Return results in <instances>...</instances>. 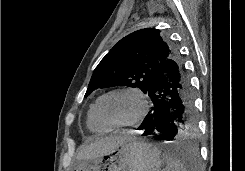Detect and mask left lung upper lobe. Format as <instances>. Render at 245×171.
Segmentation results:
<instances>
[{
	"mask_svg": "<svg viewBox=\"0 0 245 171\" xmlns=\"http://www.w3.org/2000/svg\"><path fill=\"white\" fill-rule=\"evenodd\" d=\"M176 51L160 30L146 28L122 38L95 68L85 97L98 88L138 87L147 93Z\"/></svg>",
	"mask_w": 245,
	"mask_h": 171,
	"instance_id": "obj_1",
	"label": "left lung upper lobe"
}]
</instances>
